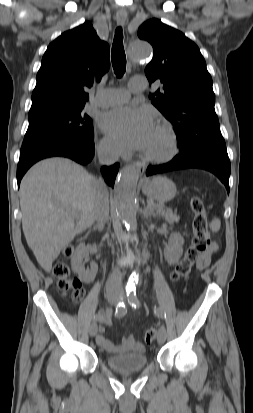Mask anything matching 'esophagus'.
<instances>
[{"label": "esophagus", "mask_w": 253, "mask_h": 413, "mask_svg": "<svg viewBox=\"0 0 253 413\" xmlns=\"http://www.w3.org/2000/svg\"><path fill=\"white\" fill-rule=\"evenodd\" d=\"M117 23L120 26H124L127 21V14L125 12H118L116 15ZM137 170L139 174H142L145 170V165L143 163H139L137 165Z\"/></svg>", "instance_id": "obj_1"}]
</instances>
